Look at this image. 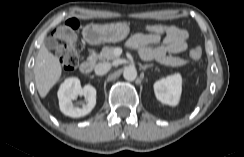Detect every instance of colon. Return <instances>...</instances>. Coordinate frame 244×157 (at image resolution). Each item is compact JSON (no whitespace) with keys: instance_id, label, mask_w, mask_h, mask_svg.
Wrapping results in <instances>:
<instances>
[{"instance_id":"obj_1","label":"colon","mask_w":244,"mask_h":157,"mask_svg":"<svg viewBox=\"0 0 244 157\" xmlns=\"http://www.w3.org/2000/svg\"><path fill=\"white\" fill-rule=\"evenodd\" d=\"M169 26L164 24H148L145 27L147 33L162 34ZM79 29V22L76 19H69L63 22L55 29L53 35L58 42L56 48L57 57L62 66L67 70H73L77 67L79 62V54L76 48L77 32ZM202 56L200 47H194L190 51V57L193 60H199Z\"/></svg>"}]
</instances>
